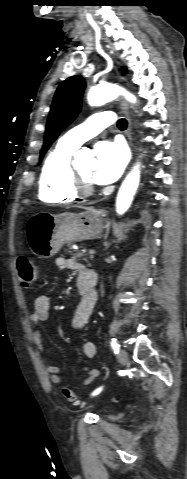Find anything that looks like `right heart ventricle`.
Wrapping results in <instances>:
<instances>
[{
	"instance_id": "1",
	"label": "right heart ventricle",
	"mask_w": 187,
	"mask_h": 479,
	"mask_svg": "<svg viewBox=\"0 0 187 479\" xmlns=\"http://www.w3.org/2000/svg\"><path fill=\"white\" fill-rule=\"evenodd\" d=\"M75 148L58 141L47 155L38 182V196L45 203H71L79 195L73 188L71 157Z\"/></svg>"
}]
</instances>
